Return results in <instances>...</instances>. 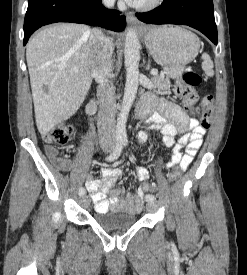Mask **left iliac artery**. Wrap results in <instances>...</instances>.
Instances as JSON below:
<instances>
[{
    "label": "left iliac artery",
    "instance_id": "obj_1",
    "mask_svg": "<svg viewBox=\"0 0 247 275\" xmlns=\"http://www.w3.org/2000/svg\"><path fill=\"white\" fill-rule=\"evenodd\" d=\"M122 142H123V145H127V143H128L127 139H123ZM145 199L148 202V201H154L156 198L154 195L148 194L145 196Z\"/></svg>",
    "mask_w": 247,
    "mask_h": 275
}]
</instances>
